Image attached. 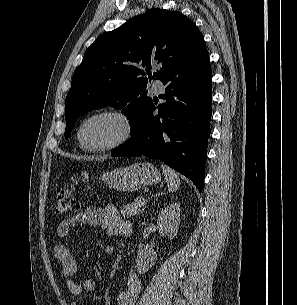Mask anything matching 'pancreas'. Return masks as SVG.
I'll use <instances>...</instances> for the list:
<instances>
[{
    "label": "pancreas",
    "mask_w": 297,
    "mask_h": 305,
    "mask_svg": "<svg viewBox=\"0 0 297 305\" xmlns=\"http://www.w3.org/2000/svg\"><path fill=\"white\" fill-rule=\"evenodd\" d=\"M142 206H144V202L139 203L137 198L135 202L123 205L121 214L124 218L134 217L138 214Z\"/></svg>",
    "instance_id": "obj_1"
}]
</instances>
